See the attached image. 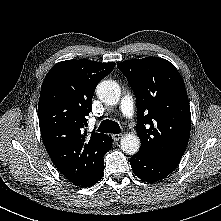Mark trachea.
<instances>
[{
    "instance_id": "3493384b",
    "label": "trachea",
    "mask_w": 221,
    "mask_h": 221,
    "mask_svg": "<svg viewBox=\"0 0 221 221\" xmlns=\"http://www.w3.org/2000/svg\"><path fill=\"white\" fill-rule=\"evenodd\" d=\"M98 131L102 133L119 134L121 129L117 122L107 119L101 122Z\"/></svg>"
}]
</instances>
